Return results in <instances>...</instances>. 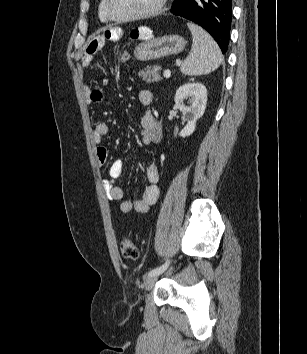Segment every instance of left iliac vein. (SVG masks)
<instances>
[{"instance_id": "4c4485c4", "label": "left iliac vein", "mask_w": 307, "mask_h": 354, "mask_svg": "<svg viewBox=\"0 0 307 354\" xmlns=\"http://www.w3.org/2000/svg\"><path fill=\"white\" fill-rule=\"evenodd\" d=\"M158 277H159L158 274L147 277L146 280L144 281L145 290L151 289L154 286L155 282L157 281Z\"/></svg>"}]
</instances>
